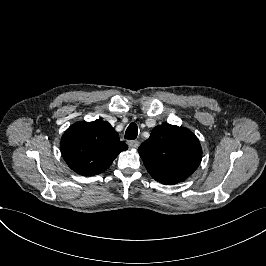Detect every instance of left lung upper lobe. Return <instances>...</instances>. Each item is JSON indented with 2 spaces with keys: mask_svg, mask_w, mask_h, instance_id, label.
<instances>
[{
  "mask_svg": "<svg viewBox=\"0 0 266 266\" xmlns=\"http://www.w3.org/2000/svg\"><path fill=\"white\" fill-rule=\"evenodd\" d=\"M138 152L149 174L166 185L186 180L202 159L197 137L187 128L169 124L153 128Z\"/></svg>",
  "mask_w": 266,
  "mask_h": 266,
  "instance_id": "obj_1",
  "label": "left lung upper lobe"
}]
</instances>
